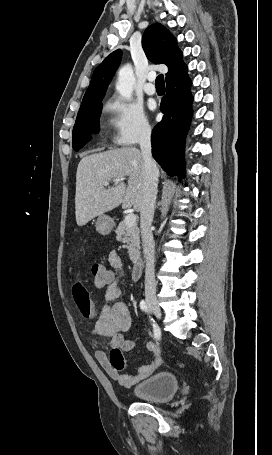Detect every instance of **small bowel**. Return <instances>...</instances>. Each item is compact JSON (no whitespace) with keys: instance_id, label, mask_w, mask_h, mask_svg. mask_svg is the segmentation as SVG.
I'll list each match as a JSON object with an SVG mask.
<instances>
[{"instance_id":"1","label":"small bowel","mask_w":272,"mask_h":455,"mask_svg":"<svg viewBox=\"0 0 272 455\" xmlns=\"http://www.w3.org/2000/svg\"><path fill=\"white\" fill-rule=\"evenodd\" d=\"M107 260L114 272H112V279L105 287L106 303L96 310L89 292L80 282L73 286V298L82 316L85 318H96L95 326L90 331L92 335L109 337L113 347L118 346L124 352H128L135 347L133 340L125 339L124 337V333L131 327V313L125 302L117 301L121 296V289L115 275L116 272L122 270V262L115 251L109 253ZM146 348L151 352L152 357L147 364L140 366L134 373H122L120 369L112 366L103 351H96L94 356L111 378L122 386L131 387L149 377L162 363L160 349L156 344L147 342Z\"/></svg>"}]
</instances>
